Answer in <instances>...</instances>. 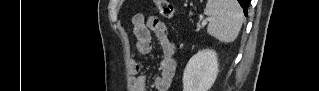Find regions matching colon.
<instances>
[{
    "label": "colon",
    "mask_w": 319,
    "mask_h": 91,
    "mask_svg": "<svg viewBox=\"0 0 319 91\" xmlns=\"http://www.w3.org/2000/svg\"><path fill=\"white\" fill-rule=\"evenodd\" d=\"M161 15L167 19H171L174 14V6L172 3L166 0H156L155 1Z\"/></svg>",
    "instance_id": "obj_1"
}]
</instances>
